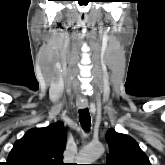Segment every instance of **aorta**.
I'll use <instances>...</instances> for the list:
<instances>
[{"instance_id": "aorta-1", "label": "aorta", "mask_w": 165, "mask_h": 165, "mask_svg": "<svg viewBox=\"0 0 165 165\" xmlns=\"http://www.w3.org/2000/svg\"><path fill=\"white\" fill-rule=\"evenodd\" d=\"M103 152L101 144H90L79 151L76 161L78 164H93Z\"/></svg>"}]
</instances>
